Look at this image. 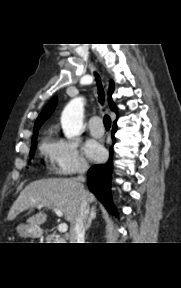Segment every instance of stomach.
Wrapping results in <instances>:
<instances>
[{"instance_id": "0dacf381", "label": "stomach", "mask_w": 181, "mask_h": 288, "mask_svg": "<svg viewBox=\"0 0 181 288\" xmlns=\"http://www.w3.org/2000/svg\"><path fill=\"white\" fill-rule=\"evenodd\" d=\"M17 232L21 237H39L40 230L30 227L29 225H19L17 227Z\"/></svg>"}]
</instances>
